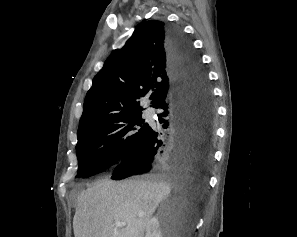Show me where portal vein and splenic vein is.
I'll return each instance as SVG.
<instances>
[{
  "label": "portal vein and splenic vein",
  "instance_id": "portal-vein-and-splenic-vein-1",
  "mask_svg": "<svg viewBox=\"0 0 297 237\" xmlns=\"http://www.w3.org/2000/svg\"><path fill=\"white\" fill-rule=\"evenodd\" d=\"M115 225H116L117 227H123V226L126 225V223H125V222H115Z\"/></svg>",
  "mask_w": 297,
  "mask_h": 237
}]
</instances>
